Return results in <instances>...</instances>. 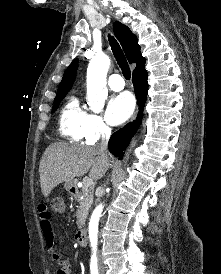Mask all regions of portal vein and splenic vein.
Wrapping results in <instances>:
<instances>
[{
  "mask_svg": "<svg viewBox=\"0 0 221 274\" xmlns=\"http://www.w3.org/2000/svg\"><path fill=\"white\" fill-rule=\"evenodd\" d=\"M83 185L86 187V188H91L93 185H94V182L92 179L90 178H85L83 179Z\"/></svg>",
  "mask_w": 221,
  "mask_h": 274,
  "instance_id": "obj_1",
  "label": "portal vein and splenic vein"
}]
</instances>
